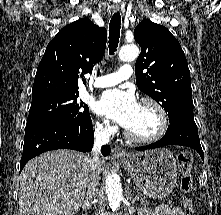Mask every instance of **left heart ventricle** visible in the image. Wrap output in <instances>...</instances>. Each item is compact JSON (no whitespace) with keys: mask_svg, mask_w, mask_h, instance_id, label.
<instances>
[{"mask_svg":"<svg viewBox=\"0 0 221 215\" xmlns=\"http://www.w3.org/2000/svg\"><path fill=\"white\" fill-rule=\"evenodd\" d=\"M159 126L155 110L147 104H138L137 111L127 129L134 135L146 137L154 134Z\"/></svg>","mask_w":221,"mask_h":215,"instance_id":"b2bd125f","label":"left heart ventricle"}]
</instances>
